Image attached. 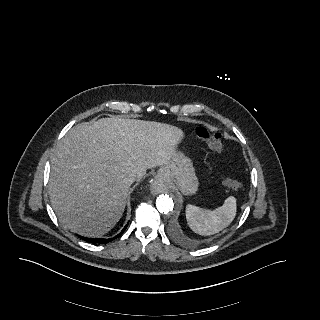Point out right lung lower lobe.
<instances>
[{
	"mask_svg": "<svg viewBox=\"0 0 320 320\" xmlns=\"http://www.w3.org/2000/svg\"><path fill=\"white\" fill-rule=\"evenodd\" d=\"M127 225L125 226V228L120 232V234H118L116 237L120 236L126 229ZM81 239L87 241V242H90V243H95V244H104V243H107L111 240H113L114 238L112 239H93V238H86V237H82V236H79ZM115 237V238H116Z\"/></svg>",
	"mask_w": 320,
	"mask_h": 320,
	"instance_id": "1",
	"label": "right lung lower lobe"
}]
</instances>
